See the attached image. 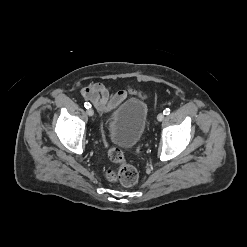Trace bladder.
<instances>
[{"label":"bladder","mask_w":247,"mask_h":247,"mask_svg":"<svg viewBox=\"0 0 247 247\" xmlns=\"http://www.w3.org/2000/svg\"><path fill=\"white\" fill-rule=\"evenodd\" d=\"M148 118L145 102L131 98L121 104L108 121L110 140L125 149L134 147L142 138Z\"/></svg>","instance_id":"31cf9c89"}]
</instances>
